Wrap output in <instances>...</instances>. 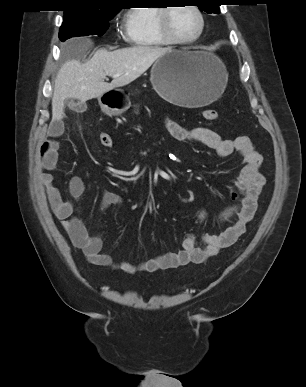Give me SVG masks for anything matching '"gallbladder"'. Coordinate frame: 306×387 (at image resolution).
Returning <instances> with one entry per match:
<instances>
[{
  "instance_id": "gallbladder-1",
  "label": "gallbladder",
  "mask_w": 306,
  "mask_h": 387,
  "mask_svg": "<svg viewBox=\"0 0 306 387\" xmlns=\"http://www.w3.org/2000/svg\"><path fill=\"white\" fill-rule=\"evenodd\" d=\"M65 104L70 108L75 110L76 109V103L72 99H67L65 101Z\"/></svg>"
}]
</instances>
